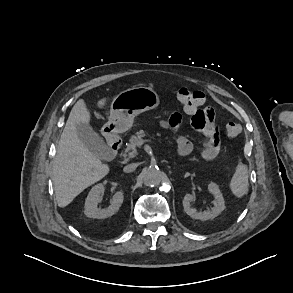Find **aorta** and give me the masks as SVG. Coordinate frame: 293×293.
Returning a JSON list of instances; mask_svg holds the SVG:
<instances>
[{"mask_svg":"<svg viewBox=\"0 0 293 293\" xmlns=\"http://www.w3.org/2000/svg\"><path fill=\"white\" fill-rule=\"evenodd\" d=\"M162 172L156 167L143 171V181L146 186H156L161 182Z\"/></svg>","mask_w":293,"mask_h":293,"instance_id":"1","label":"aorta"}]
</instances>
